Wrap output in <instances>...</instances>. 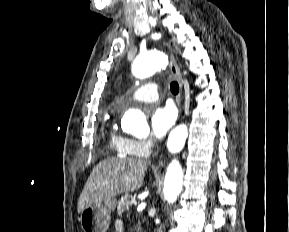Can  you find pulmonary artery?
I'll use <instances>...</instances> for the list:
<instances>
[{
    "instance_id": "e3ab8cb5",
    "label": "pulmonary artery",
    "mask_w": 289,
    "mask_h": 232,
    "mask_svg": "<svg viewBox=\"0 0 289 232\" xmlns=\"http://www.w3.org/2000/svg\"><path fill=\"white\" fill-rule=\"evenodd\" d=\"M159 98L158 88L149 83L138 88L132 95L130 102H152Z\"/></svg>"
}]
</instances>
